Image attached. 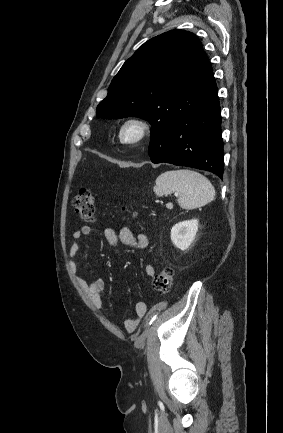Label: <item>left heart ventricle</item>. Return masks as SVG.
I'll use <instances>...</instances> for the list:
<instances>
[{
	"instance_id": "obj_1",
	"label": "left heart ventricle",
	"mask_w": 283,
	"mask_h": 433,
	"mask_svg": "<svg viewBox=\"0 0 283 433\" xmlns=\"http://www.w3.org/2000/svg\"><path fill=\"white\" fill-rule=\"evenodd\" d=\"M136 134H137V128L131 126V127H128V128H126V129L124 130V132H123V137L126 138V139H128V138L133 137V136L136 135Z\"/></svg>"
}]
</instances>
